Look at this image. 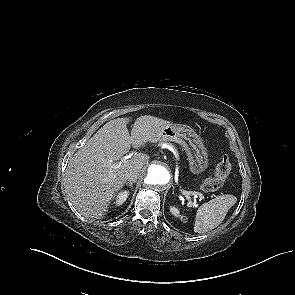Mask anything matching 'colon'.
Here are the masks:
<instances>
[{"label":"colon","mask_w":295,"mask_h":295,"mask_svg":"<svg viewBox=\"0 0 295 295\" xmlns=\"http://www.w3.org/2000/svg\"><path fill=\"white\" fill-rule=\"evenodd\" d=\"M231 172V162L227 155L221 156L219 159L214 174L206 179L201 188L204 192H213L219 189Z\"/></svg>","instance_id":"1"}]
</instances>
